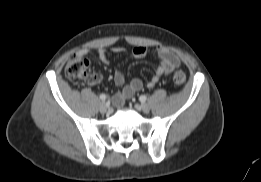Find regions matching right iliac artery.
<instances>
[{"mask_svg":"<svg viewBox=\"0 0 261 182\" xmlns=\"http://www.w3.org/2000/svg\"><path fill=\"white\" fill-rule=\"evenodd\" d=\"M107 98H108V97H107L106 94H101V95H100V99H101L102 101H105Z\"/></svg>","mask_w":261,"mask_h":182,"instance_id":"82829eb1","label":"right iliac artery"}]
</instances>
